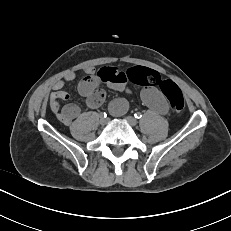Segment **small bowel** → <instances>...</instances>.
<instances>
[{
    "instance_id": "c3829d8e",
    "label": "small bowel",
    "mask_w": 231,
    "mask_h": 231,
    "mask_svg": "<svg viewBox=\"0 0 231 231\" xmlns=\"http://www.w3.org/2000/svg\"><path fill=\"white\" fill-rule=\"evenodd\" d=\"M76 74L67 72L59 80L52 85V92L49 96L50 110L55 114L57 119L66 126L79 117L80 108L72 103L66 104L61 108L60 101H68L70 96L64 90L67 82L74 80ZM127 73L118 68L104 67L95 69L88 67L85 69V77L78 84L79 94L85 98L86 105L89 108H98L105 101L106 94L100 88L102 84H107L111 89L129 93L127 88ZM140 97L144 104L151 110L166 114L168 112V103L164 94L153 86H146L140 92ZM128 109V104L125 99L114 100L110 104L112 114L119 116L124 114Z\"/></svg>"
}]
</instances>
